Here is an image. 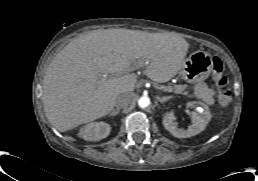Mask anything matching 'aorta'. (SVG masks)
<instances>
[{
  "label": "aorta",
  "mask_w": 258,
  "mask_h": 181,
  "mask_svg": "<svg viewBox=\"0 0 258 181\" xmlns=\"http://www.w3.org/2000/svg\"><path fill=\"white\" fill-rule=\"evenodd\" d=\"M138 105L141 108H146L150 105V98L147 96H142L138 100Z\"/></svg>",
  "instance_id": "obj_1"
}]
</instances>
